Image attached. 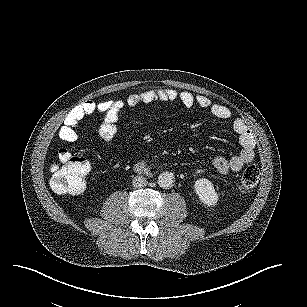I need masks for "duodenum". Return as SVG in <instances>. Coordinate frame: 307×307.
<instances>
[{
    "instance_id": "duodenum-1",
    "label": "duodenum",
    "mask_w": 307,
    "mask_h": 307,
    "mask_svg": "<svg viewBox=\"0 0 307 307\" xmlns=\"http://www.w3.org/2000/svg\"><path fill=\"white\" fill-rule=\"evenodd\" d=\"M136 170L140 173H148L149 172V169L146 165L144 164H138L136 165Z\"/></svg>"
}]
</instances>
